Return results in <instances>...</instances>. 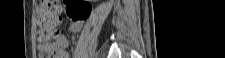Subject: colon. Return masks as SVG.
<instances>
[{"instance_id": "obj_1", "label": "colon", "mask_w": 225, "mask_h": 58, "mask_svg": "<svg viewBox=\"0 0 225 58\" xmlns=\"http://www.w3.org/2000/svg\"><path fill=\"white\" fill-rule=\"evenodd\" d=\"M66 14L72 21H82L89 15L91 5L88 1H65ZM37 24L40 27L39 38L49 40L58 36L57 25L61 19V10L52 5L51 1H40L37 8Z\"/></svg>"}]
</instances>
